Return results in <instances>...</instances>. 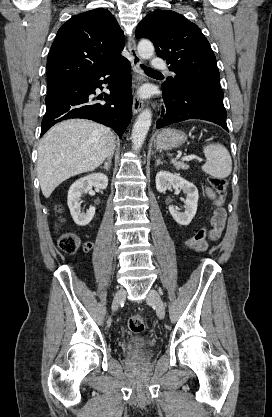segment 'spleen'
<instances>
[{"instance_id": "spleen-1", "label": "spleen", "mask_w": 272, "mask_h": 417, "mask_svg": "<svg viewBox=\"0 0 272 417\" xmlns=\"http://www.w3.org/2000/svg\"><path fill=\"white\" fill-rule=\"evenodd\" d=\"M206 163L202 170L215 177L226 178L232 171V160L229 151L221 144H209L203 148Z\"/></svg>"}]
</instances>
